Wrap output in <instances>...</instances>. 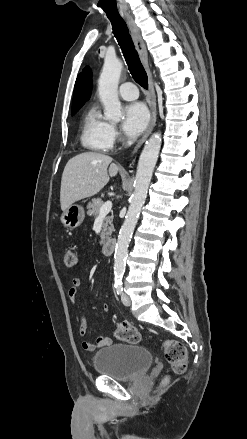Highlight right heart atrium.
Wrapping results in <instances>:
<instances>
[{
    "label": "right heart atrium",
    "mask_w": 247,
    "mask_h": 439,
    "mask_svg": "<svg viewBox=\"0 0 247 439\" xmlns=\"http://www.w3.org/2000/svg\"><path fill=\"white\" fill-rule=\"evenodd\" d=\"M110 134H111V137H112L113 141L115 139H117L118 136H119V133H118L117 129L113 125L110 126Z\"/></svg>",
    "instance_id": "obj_1"
}]
</instances>
